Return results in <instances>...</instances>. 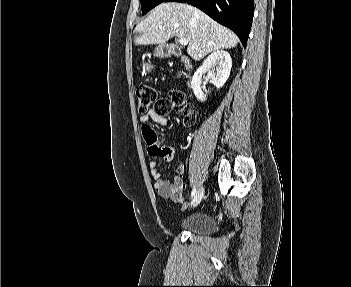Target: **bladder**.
Instances as JSON below:
<instances>
[{
    "mask_svg": "<svg viewBox=\"0 0 351 287\" xmlns=\"http://www.w3.org/2000/svg\"><path fill=\"white\" fill-rule=\"evenodd\" d=\"M180 228L190 233L209 235L215 231L216 223L210 214L198 213L187 217Z\"/></svg>",
    "mask_w": 351,
    "mask_h": 287,
    "instance_id": "31cf9c89",
    "label": "bladder"
}]
</instances>
